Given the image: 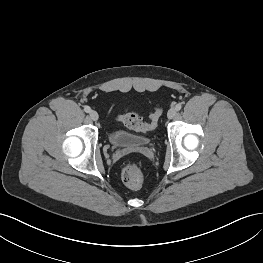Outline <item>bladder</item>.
<instances>
[{
	"instance_id": "31cf9c89",
	"label": "bladder",
	"mask_w": 263,
	"mask_h": 263,
	"mask_svg": "<svg viewBox=\"0 0 263 263\" xmlns=\"http://www.w3.org/2000/svg\"><path fill=\"white\" fill-rule=\"evenodd\" d=\"M107 139L112 146L118 148H138L149 143V138L119 128L110 129Z\"/></svg>"
}]
</instances>
